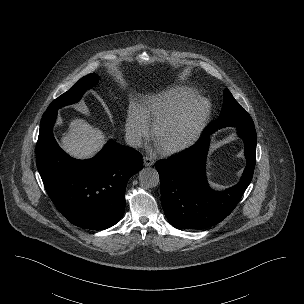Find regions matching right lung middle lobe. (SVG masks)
Here are the masks:
<instances>
[{"label":"right lung middle lobe","instance_id":"right-lung-middle-lobe-1","mask_svg":"<svg viewBox=\"0 0 304 304\" xmlns=\"http://www.w3.org/2000/svg\"><path fill=\"white\" fill-rule=\"evenodd\" d=\"M98 76L95 73L89 74L79 81L76 82L75 85L71 87L70 90L59 96L55 99L47 108L46 111L58 109L62 106L75 103L79 101L83 93L91 88L92 86L96 85L98 82Z\"/></svg>","mask_w":304,"mask_h":304}]
</instances>
